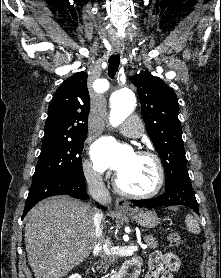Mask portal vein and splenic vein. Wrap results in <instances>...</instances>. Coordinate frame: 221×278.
<instances>
[{
    "instance_id": "1",
    "label": "portal vein and splenic vein",
    "mask_w": 221,
    "mask_h": 278,
    "mask_svg": "<svg viewBox=\"0 0 221 278\" xmlns=\"http://www.w3.org/2000/svg\"><path fill=\"white\" fill-rule=\"evenodd\" d=\"M143 248H147V245H142Z\"/></svg>"
}]
</instances>
